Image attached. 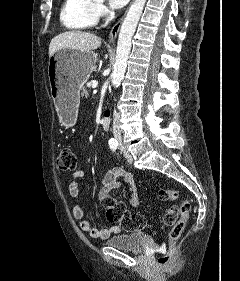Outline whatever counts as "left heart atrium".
Here are the masks:
<instances>
[{"mask_svg":"<svg viewBox=\"0 0 240 281\" xmlns=\"http://www.w3.org/2000/svg\"><path fill=\"white\" fill-rule=\"evenodd\" d=\"M129 0H109V4L112 8L120 9L124 7Z\"/></svg>","mask_w":240,"mask_h":281,"instance_id":"obj_1","label":"left heart atrium"}]
</instances>
